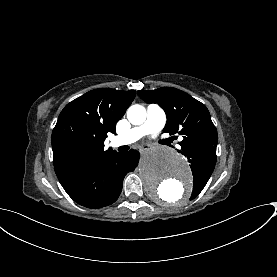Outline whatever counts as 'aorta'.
Returning a JSON list of instances; mask_svg holds the SVG:
<instances>
[{
    "mask_svg": "<svg viewBox=\"0 0 277 277\" xmlns=\"http://www.w3.org/2000/svg\"><path fill=\"white\" fill-rule=\"evenodd\" d=\"M127 116L133 125H140L146 120V109L132 105ZM139 174L148 193L159 201L178 204L185 201L192 190L188 162L168 148L149 150L140 163Z\"/></svg>",
    "mask_w": 277,
    "mask_h": 277,
    "instance_id": "obj_1",
    "label": "aorta"
}]
</instances>
